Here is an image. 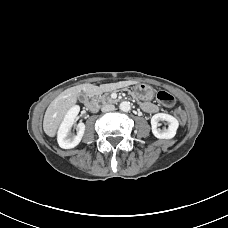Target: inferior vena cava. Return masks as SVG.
I'll return each instance as SVG.
<instances>
[{"mask_svg": "<svg viewBox=\"0 0 228 228\" xmlns=\"http://www.w3.org/2000/svg\"><path fill=\"white\" fill-rule=\"evenodd\" d=\"M115 109V106L112 104H105L102 106L101 111L102 112H109V111H113Z\"/></svg>", "mask_w": 228, "mask_h": 228, "instance_id": "obj_1", "label": "inferior vena cava"}]
</instances>
